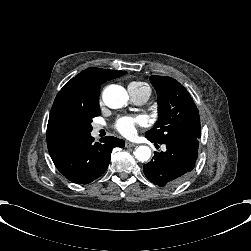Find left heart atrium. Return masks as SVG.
I'll return each mask as SVG.
<instances>
[{"label":"left heart atrium","mask_w":251,"mask_h":251,"mask_svg":"<svg viewBox=\"0 0 251 251\" xmlns=\"http://www.w3.org/2000/svg\"><path fill=\"white\" fill-rule=\"evenodd\" d=\"M141 122L142 119L140 117L132 118L124 116L117 119L114 127L122 135L128 136L134 133L135 125L140 124Z\"/></svg>","instance_id":"obj_1"}]
</instances>
